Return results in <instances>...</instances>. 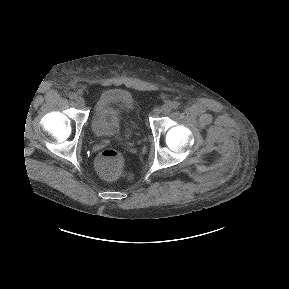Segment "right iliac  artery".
<instances>
[{
  "mask_svg": "<svg viewBox=\"0 0 289 289\" xmlns=\"http://www.w3.org/2000/svg\"><path fill=\"white\" fill-rule=\"evenodd\" d=\"M68 97L73 100V99L76 98V94L71 92V93L68 94Z\"/></svg>",
  "mask_w": 289,
  "mask_h": 289,
  "instance_id": "82829eb1",
  "label": "right iliac artery"
}]
</instances>
